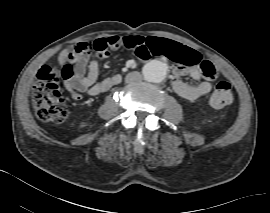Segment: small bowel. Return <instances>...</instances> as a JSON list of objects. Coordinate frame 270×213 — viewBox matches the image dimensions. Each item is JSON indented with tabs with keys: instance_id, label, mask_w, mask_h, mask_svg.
I'll return each instance as SVG.
<instances>
[{
	"instance_id": "small-bowel-1",
	"label": "small bowel",
	"mask_w": 270,
	"mask_h": 213,
	"mask_svg": "<svg viewBox=\"0 0 270 213\" xmlns=\"http://www.w3.org/2000/svg\"><path fill=\"white\" fill-rule=\"evenodd\" d=\"M125 38L110 36L98 40L82 41L61 53V60H67L73 64V76L65 80V86L73 98L79 99L83 93L95 96L121 82L119 74L97 81L100 62L106 59L112 50L125 47ZM74 51H77V54L70 56L69 54ZM152 55H162L175 62L173 89L183 99L195 101L211 92L213 79L206 78L198 84H190L181 80L185 74L194 80L204 78L202 65L199 64L200 56L196 50L172 40L158 38L153 45L147 46L137 58L145 60Z\"/></svg>"
}]
</instances>
